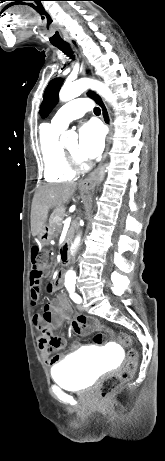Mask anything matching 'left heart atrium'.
I'll list each match as a JSON object with an SVG mask.
<instances>
[{"label":"left heart atrium","mask_w":165,"mask_h":461,"mask_svg":"<svg viewBox=\"0 0 165 461\" xmlns=\"http://www.w3.org/2000/svg\"><path fill=\"white\" fill-rule=\"evenodd\" d=\"M104 131L96 122L84 124L79 130V155L85 159L97 157L104 147Z\"/></svg>","instance_id":"1"}]
</instances>
